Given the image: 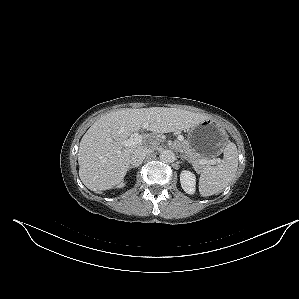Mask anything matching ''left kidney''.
<instances>
[{"label": "left kidney", "mask_w": 299, "mask_h": 299, "mask_svg": "<svg viewBox=\"0 0 299 299\" xmlns=\"http://www.w3.org/2000/svg\"><path fill=\"white\" fill-rule=\"evenodd\" d=\"M180 182L183 190L188 194L195 193L196 177L195 175L187 170H184L180 174Z\"/></svg>", "instance_id": "obj_1"}]
</instances>
